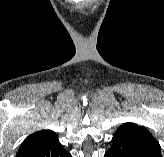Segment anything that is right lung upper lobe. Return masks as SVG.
<instances>
[{
  "label": "right lung upper lobe",
  "mask_w": 164,
  "mask_h": 157,
  "mask_svg": "<svg viewBox=\"0 0 164 157\" xmlns=\"http://www.w3.org/2000/svg\"><path fill=\"white\" fill-rule=\"evenodd\" d=\"M58 140L56 133L51 130H41L29 135L21 144L16 157H28L33 152L39 150L54 141Z\"/></svg>",
  "instance_id": "obj_1"
}]
</instances>
